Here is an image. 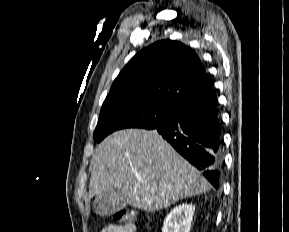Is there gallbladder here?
I'll return each mask as SVG.
<instances>
[{
	"label": "gallbladder",
	"mask_w": 289,
	"mask_h": 232,
	"mask_svg": "<svg viewBox=\"0 0 289 232\" xmlns=\"http://www.w3.org/2000/svg\"><path fill=\"white\" fill-rule=\"evenodd\" d=\"M126 197L121 189H110L103 196H96L93 202L94 210L101 216H109L126 206Z\"/></svg>",
	"instance_id": "obj_1"
}]
</instances>
